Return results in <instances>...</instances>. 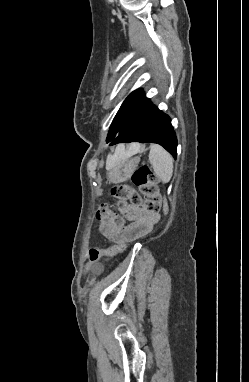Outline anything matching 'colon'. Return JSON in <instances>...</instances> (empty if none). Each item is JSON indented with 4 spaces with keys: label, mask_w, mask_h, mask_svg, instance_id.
<instances>
[{
    "label": "colon",
    "mask_w": 249,
    "mask_h": 382,
    "mask_svg": "<svg viewBox=\"0 0 249 382\" xmlns=\"http://www.w3.org/2000/svg\"><path fill=\"white\" fill-rule=\"evenodd\" d=\"M133 184L139 188L142 197L130 185H117L111 189L112 196L116 199V207L120 212L127 204L142 206L147 212L160 213L163 209V199L157 186L155 174L147 166H141L132 175ZM99 218L111 221L115 226H122L123 220L118 213L113 212L107 205L98 208ZM127 246V240H120L108 248L93 247L89 250V260L96 262L103 257H113L121 254Z\"/></svg>",
    "instance_id": "5ec220e1"
}]
</instances>
